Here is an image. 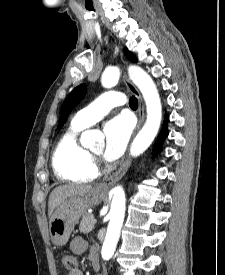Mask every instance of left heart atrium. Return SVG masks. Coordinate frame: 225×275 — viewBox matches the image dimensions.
<instances>
[{
  "instance_id": "1",
  "label": "left heart atrium",
  "mask_w": 225,
  "mask_h": 275,
  "mask_svg": "<svg viewBox=\"0 0 225 275\" xmlns=\"http://www.w3.org/2000/svg\"><path fill=\"white\" fill-rule=\"evenodd\" d=\"M132 123L124 115L117 116L105 123L104 157L108 161L118 159L124 152L132 132Z\"/></svg>"
}]
</instances>
